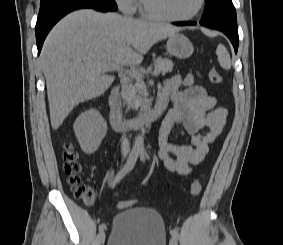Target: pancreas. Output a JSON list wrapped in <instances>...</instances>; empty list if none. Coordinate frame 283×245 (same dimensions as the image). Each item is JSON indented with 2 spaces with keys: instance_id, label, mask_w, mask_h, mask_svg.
Masks as SVG:
<instances>
[{
  "instance_id": "pancreas-1",
  "label": "pancreas",
  "mask_w": 283,
  "mask_h": 245,
  "mask_svg": "<svg viewBox=\"0 0 283 245\" xmlns=\"http://www.w3.org/2000/svg\"><path fill=\"white\" fill-rule=\"evenodd\" d=\"M154 67L162 74L172 71L173 62L168 58L159 57L154 60ZM148 93L144 81L135 78V83L129 82L124 89L123 99L128 108H137L138 106H145L148 103Z\"/></svg>"
}]
</instances>
